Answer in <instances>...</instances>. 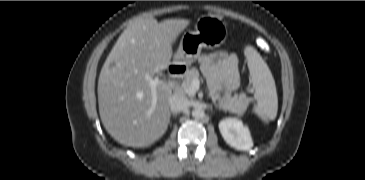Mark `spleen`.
Here are the masks:
<instances>
[{"label": "spleen", "mask_w": 365, "mask_h": 180, "mask_svg": "<svg viewBox=\"0 0 365 180\" xmlns=\"http://www.w3.org/2000/svg\"><path fill=\"white\" fill-rule=\"evenodd\" d=\"M245 56L250 71V80L255 90L256 105L253 111L265 122L274 120L278 111V97L272 73L253 47L246 48Z\"/></svg>", "instance_id": "3e777b00"}]
</instances>
